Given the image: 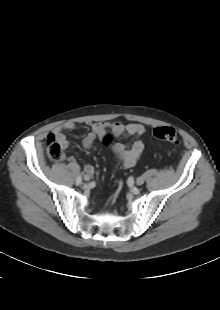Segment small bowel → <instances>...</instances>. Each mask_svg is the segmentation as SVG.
I'll use <instances>...</instances> for the list:
<instances>
[{
	"mask_svg": "<svg viewBox=\"0 0 220 310\" xmlns=\"http://www.w3.org/2000/svg\"><path fill=\"white\" fill-rule=\"evenodd\" d=\"M75 129V124L73 122H65L64 124L58 126L54 129L53 134L56 135L62 146L68 147L69 142L66 138L64 132H71ZM113 133L116 136H135L138 137L130 146L123 143H114L111 146L113 153L116 156L117 162L123 168H132L139 161L143 150L144 141L141 137L145 133L144 125L140 123H129L124 125L120 122H97L91 124L89 133L84 137L82 141V146L85 149H89L97 138L103 137L107 133ZM84 171L86 175L92 176L94 174V168L92 165H85Z\"/></svg>",
	"mask_w": 220,
	"mask_h": 310,
	"instance_id": "obj_1",
	"label": "small bowel"
}]
</instances>
